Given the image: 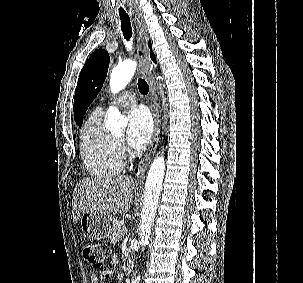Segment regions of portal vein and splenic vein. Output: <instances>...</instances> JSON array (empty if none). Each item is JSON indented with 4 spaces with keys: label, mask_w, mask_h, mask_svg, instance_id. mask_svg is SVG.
<instances>
[{
    "label": "portal vein and splenic vein",
    "mask_w": 303,
    "mask_h": 283,
    "mask_svg": "<svg viewBox=\"0 0 303 283\" xmlns=\"http://www.w3.org/2000/svg\"><path fill=\"white\" fill-rule=\"evenodd\" d=\"M126 232H127V229L125 227H123L122 234H125Z\"/></svg>",
    "instance_id": "1"
}]
</instances>
